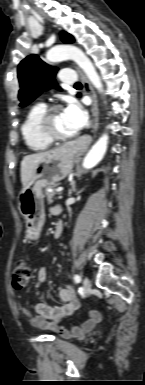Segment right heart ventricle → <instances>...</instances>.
Segmentation results:
<instances>
[{"label": "right heart ventricle", "mask_w": 145, "mask_h": 385, "mask_svg": "<svg viewBox=\"0 0 145 385\" xmlns=\"http://www.w3.org/2000/svg\"><path fill=\"white\" fill-rule=\"evenodd\" d=\"M46 110L43 103L34 104L26 113L21 125V134L25 145L31 151H43L47 149L51 142L47 140L39 131L38 123L42 114Z\"/></svg>", "instance_id": "obj_1"}]
</instances>
